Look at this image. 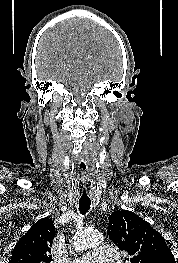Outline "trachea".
I'll return each instance as SVG.
<instances>
[{"mask_svg": "<svg viewBox=\"0 0 178 263\" xmlns=\"http://www.w3.org/2000/svg\"><path fill=\"white\" fill-rule=\"evenodd\" d=\"M81 188H82V195L79 199V211L81 214H85L90 209L91 200H90L89 196L87 195L85 185H83Z\"/></svg>", "mask_w": 178, "mask_h": 263, "instance_id": "3493384b", "label": "trachea"}]
</instances>
